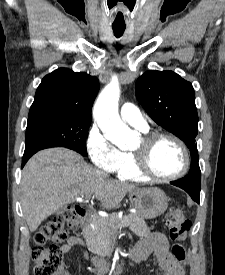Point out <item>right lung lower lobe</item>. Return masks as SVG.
<instances>
[{
	"label": "right lung lower lobe",
	"instance_id": "right-lung-lower-lobe-1",
	"mask_svg": "<svg viewBox=\"0 0 225 275\" xmlns=\"http://www.w3.org/2000/svg\"><path fill=\"white\" fill-rule=\"evenodd\" d=\"M33 154H34V153L24 154L23 159H22V167L25 165V163L28 161V159H29Z\"/></svg>",
	"mask_w": 225,
	"mask_h": 275
}]
</instances>
